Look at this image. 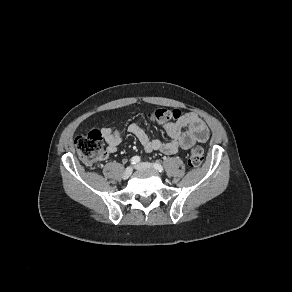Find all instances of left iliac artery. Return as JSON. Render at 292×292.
Instances as JSON below:
<instances>
[{
  "instance_id": "obj_1",
  "label": "left iliac artery",
  "mask_w": 292,
  "mask_h": 292,
  "mask_svg": "<svg viewBox=\"0 0 292 292\" xmlns=\"http://www.w3.org/2000/svg\"><path fill=\"white\" fill-rule=\"evenodd\" d=\"M153 166L159 172H163L164 171V168H163V166L160 163L155 162V163H153Z\"/></svg>"
}]
</instances>
